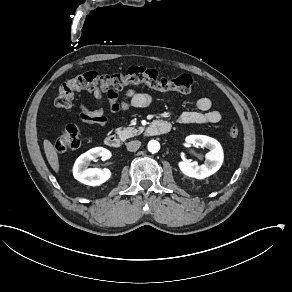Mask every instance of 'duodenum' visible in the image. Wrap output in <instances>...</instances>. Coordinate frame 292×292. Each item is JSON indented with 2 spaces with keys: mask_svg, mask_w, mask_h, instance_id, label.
Segmentation results:
<instances>
[{
  "mask_svg": "<svg viewBox=\"0 0 292 292\" xmlns=\"http://www.w3.org/2000/svg\"><path fill=\"white\" fill-rule=\"evenodd\" d=\"M171 123L166 120H156L155 122L148 125L145 129L146 136H156L167 134L171 131ZM105 143L108 147L113 149L120 148L121 141L116 134H110L105 138Z\"/></svg>",
  "mask_w": 292,
  "mask_h": 292,
  "instance_id": "duodenum-1",
  "label": "duodenum"
}]
</instances>
